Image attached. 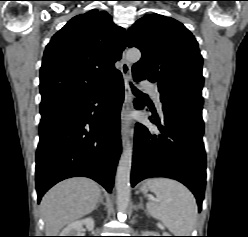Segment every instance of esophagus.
<instances>
[{
  "instance_id": "obj_1",
  "label": "esophagus",
  "mask_w": 248,
  "mask_h": 237,
  "mask_svg": "<svg viewBox=\"0 0 248 237\" xmlns=\"http://www.w3.org/2000/svg\"><path fill=\"white\" fill-rule=\"evenodd\" d=\"M121 72L125 88V97L121 110V137L123 146H125L131 134V122L128 119L127 114L132 105V93L129 86V81L131 80V66L126 59V50L123 52L121 58Z\"/></svg>"
}]
</instances>
